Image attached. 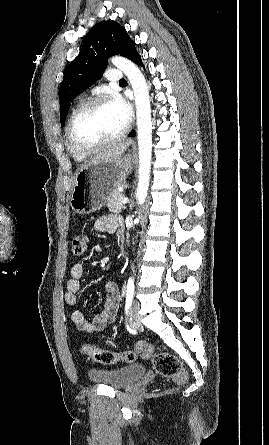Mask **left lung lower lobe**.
Listing matches in <instances>:
<instances>
[{
    "mask_svg": "<svg viewBox=\"0 0 269 445\" xmlns=\"http://www.w3.org/2000/svg\"><path fill=\"white\" fill-rule=\"evenodd\" d=\"M135 63H137L138 65L144 67V65L142 64V60H141V57H140V56L137 58V60L135 61ZM132 136L134 137V136H135V133L132 134Z\"/></svg>",
    "mask_w": 269,
    "mask_h": 445,
    "instance_id": "obj_1",
    "label": "left lung lower lobe"
}]
</instances>
